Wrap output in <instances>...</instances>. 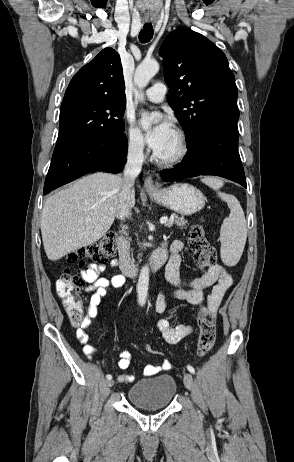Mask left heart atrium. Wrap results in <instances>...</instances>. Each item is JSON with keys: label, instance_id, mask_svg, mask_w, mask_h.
Returning <instances> with one entry per match:
<instances>
[{"label": "left heart atrium", "instance_id": "1", "mask_svg": "<svg viewBox=\"0 0 294 462\" xmlns=\"http://www.w3.org/2000/svg\"><path fill=\"white\" fill-rule=\"evenodd\" d=\"M140 125L146 129L147 143L154 153L159 156L175 134L171 122L163 118L160 122L154 124L150 118L144 117L140 120Z\"/></svg>", "mask_w": 294, "mask_h": 462}]
</instances>
